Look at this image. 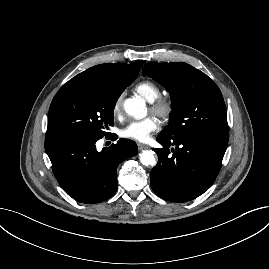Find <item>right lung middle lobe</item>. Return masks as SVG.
<instances>
[{
    "mask_svg": "<svg viewBox=\"0 0 269 269\" xmlns=\"http://www.w3.org/2000/svg\"><path fill=\"white\" fill-rule=\"evenodd\" d=\"M132 82H67L52 100L46 138L77 135L100 139L113 126V110L123 90Z\"/></svg>",
    "mask_w": 269,
    "mask_h": 269,
    "instance_id": "dd1d6c3e",
    "label": "right lung middle lobe"
}]
</instances>
